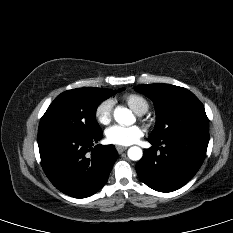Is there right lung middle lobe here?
Instances as JSON below:
<instances>
[{"label":"right lung middle lobe","mask_w":233,"mask_h":233,"mask_svg":"<svg viewBox=\"0 0 233 233\" xmlns=\"http://www.w3.org/2000/svg\"><path fill=\"white\" fill-rule=\"evenodd\" d=\"M119 89L118 92L122 91ZM116 92L110 89L77 88L58 95L40 120L38 132L64 130L95 135L102 130L95 120L96 109Z\"/></svg>","instance_id":"dd1d6c3e"}]
</instances>
